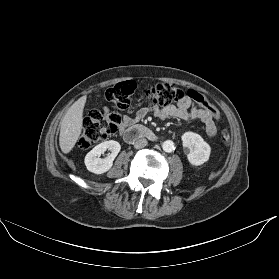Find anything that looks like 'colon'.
<instances>
[{
	"label": "colon",
	"instance_id": "obj_1",
	"mask_svg": "<svg viewBox=\"0 0 279 279\" xmlns=\"http://www.w3.org/2000/svg\"><path fill=\"white\" fill-rule=\"evenodd\" d=\"M136 88L134 81L126 80L105 91V99L113 105L114 110H93L85 117L78 142L80 148L90 149L113 135L118 130L122 120L117 110L128 108L132 99L143 100L151 106L165 107L177 103L184 97L182 90L168 83L157 84L142 92H137ZM188 96L201 104L214 119L218 118L217 109L203 94L195 90H189ZM221 140L225 145L230 143V135L226 129L222 130Z\"/></svg>",
	"mask_w": 279,
	"mask_h": 279
}]
</instances>
